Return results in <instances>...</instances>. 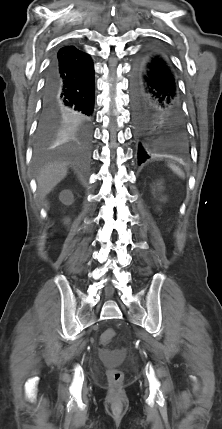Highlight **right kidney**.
I'll return each mask as SVG.
<instances>
[{"label":"right kidney","mask_w":222,"mask_h":429,"mask_svg":"<svg viewBox=\"0 0 222 429\" xmlns=\"http://www.w3.org/2000/svg\"><path fill=\"white\" fill-rule=\"evenodd\" d=\"M73 194L70 190H63L60 193L59 199L62 203H64L65 205H70L73 202ZM64 224L69 225L71 220L69 218H65L64 220Z\"/></svg>","instance_id":"right-kidney-1"}]
</instances>
